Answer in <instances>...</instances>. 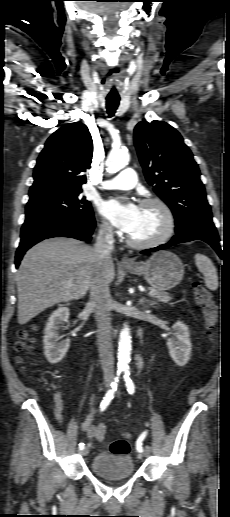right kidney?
Returning <instances> with one entry per match:
<instances>
[{
    "label": "right kidney",
    "instance_id": "ca27d5eb",
    "mask_svg": "<svg viewBox=\"0 0 230 517\" xmlns=\"http://www.w3.org/2000/svg\"><path fill=\"white\" fill-rule=\"evenodd\" d=\"M69 314L67 307H59L51 314L44 329V355L51 364L60 362L69 349L70 339L59 341L62 337L58 333L61 325L68 321Z\"/></svg>",
    "mask_w": 230,
    "mask_h": 517
}]
</instances>
